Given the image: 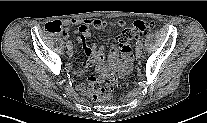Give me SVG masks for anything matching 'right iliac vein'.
I'll return each instance as SVG.
<instances>
[{
  "mask_svg": "<svg viewBox=\"0 0 207 123\" xmlns=\"http://www.w3.org/2000/svg\"><path fill=\"white\" fill-rule=\"evenodd\" d=\"M67 54H68L69 56H72V55H73L72 47H69V48L67 49Z\"/></svg>",
  "mask_w": 207,
  "mask_h": 123,
  "instance_id": "obj_1",
  "label": "right iliac vein"
}]
</instances>
